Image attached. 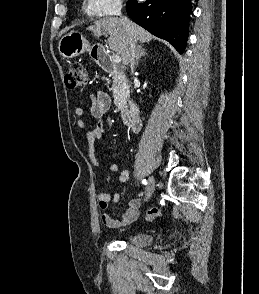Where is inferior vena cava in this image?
<instances>
[{
    "mask_svg": "<svg viewBox=\"0 0 259 294\" xmlns=\"http://www.w3.org/2000/svg\"><path fill=\"white\" fill-rule=\"evenodd\" d=\"M121 8L122 6L119 5L117 8V12L116 15L120 16L121 21L123 22V25L126 27L127 30L130 29L131 26V22L129 21V19L127 17L122 16L121 14ZM129 62L131 64V68H134V60L136 58V54H137V47H136V42L134 40H130L129 41Z\"/></svg>",
    "mask_w": 259,
    "mask_h": 294,
    "instance_id": "obj_1",
    "label": "inferior vena cava"
}]
</instances>
